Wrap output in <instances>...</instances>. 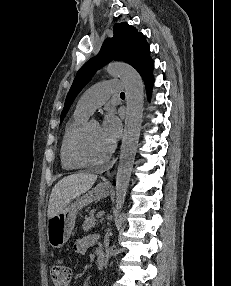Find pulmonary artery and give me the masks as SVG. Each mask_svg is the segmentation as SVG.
I'll use <instances>...</instances> for the list:
<instances>
[{
    "label": "pulmonary artery",
    "instance_id": "1",
    "mask_svg": "<svg viewBox=\"0 0 231 286\" xmlns=\"http://www.w3.org/2000/svg\"><path fill=\"white\" fill-rule=\"evenodd\" d=\"M123 83L113 79L100 82L88 89L79 99L77 109L91 115L98 107L102 106L108 98L121 92Z\"/></svg>",
    "mask_w": 231,
    "mask_h": 286
}]
</instances>
